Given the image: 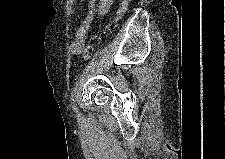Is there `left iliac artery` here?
Listing matches in <instances>:
<instances>
[{"instance_id": "44dca946", "label": "left iliac artery", "mask_w": 225, "mask_h": 159, "mask_svg": "<svg viewBox=\"0 0 225 159\" xmlns=\"http://www.w3.org/2000/svg\"><path fill=\"white\" fill-rule=\"evenodd\" d=\"M75 96H76V87L73 89L72 93H71V97H70V100H71V106L73 108V110L78 113L79 110L77 108V105L75 103ZM80 116V114L78 113V117Z\"/></svg>"}]
</instances>
